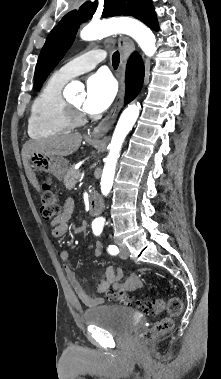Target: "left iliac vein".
Returning a JSON list of instances; mask_svg holds the SVG:
<instances>
[{
    "label": "left iliac vein",
    "instance_id": "left-iliac-vein-1",
    "mask_svg": "<svg viewBox=\"0 0 221 379\" xmlns=\"http://www.w3.org/2000/svg\"><path fill=\"white\" fill-rule=\"evenodd\" d=\"M119 247H120V257L122 259H127L129 256V250L127 246L124 243H119Z\"/></svg>",
    "mask_w": 221,
    "mask_h": 379
}]
</instances>
